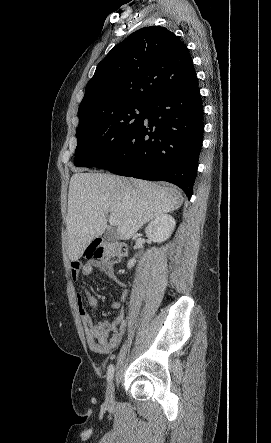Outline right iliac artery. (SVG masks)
<instances>
[{"mask_svg": "<svg viewBox=\"0 0 271 443\" xmlns=\"http://www.w3.org/2000/svg\"><path fill=\"white\" fill-rule=\"evenodd\" d=\"M114 375V366L112 364L109 365L108 367V372H107V381L110 382L113 378Z\"/></svg>", "mask_w": 271, "mask_h": 443, "instance_id": "obj_1", "label": "right iliac artery"}]
</instances>
